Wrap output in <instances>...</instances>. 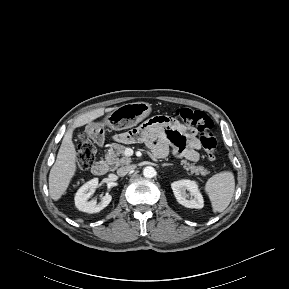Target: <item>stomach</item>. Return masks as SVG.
Listing matches in <instances>:
<instances>
[{
	"instance_id": "stomach-1",
	"label": "stomach",
	"mask_w": 289,
	"mask_h": 289,
	"mask_svg": "<svg viewBox=\"0 0 289 289\" xmlns=\"http://www.w3.org/2000/svg\"><path fill=\"white\" fill-rule=\"evenodd\" d=\"M151 110V105L147 102L124 104L108 114L103 123H90V135L96 137L105 126L118 131L132 128L148 117Z\"/></svg>"
}]
</instances>
